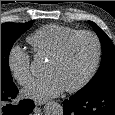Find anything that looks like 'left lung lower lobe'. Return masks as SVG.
<instances>
[{
  "mask_svg": "<svg viewBox=\"0 0 115 115\" xmlns=\"http://www.w3.org/2000/svg\"><path fill=\"white\" fill-rule=\"evenodd\" d=\"M64 115H115V88L86 95L74 94L63 101Z\"/></svg>",
  "mask_w": 115,
  "mask_h": 115,
  "instance_id": "obj_1",
  "label": "left lung lower lobe"
}]
</instances>
